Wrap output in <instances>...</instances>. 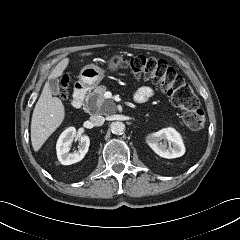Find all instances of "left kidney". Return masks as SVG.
I'll return each mask as SVG.
<instances>
[{
  "instance_id": "1",
  "label": "left kidney",
  "mask_w": 240,
  "mask_h": 240,
  "mask_svg": "<svg viewBox=\"0 0 240 240\" xmlns=\"http://www.w3.org/2000/svg\"><path fill=\"white\" fill-rule=\"evenodd\" d=\"M167 142L169 143V147L167 146ZM147 143L156 154L163 158H177L185 153L182 138L173 128H164L149 134L147 136Z\"/></svg>"
}]
</instances>
